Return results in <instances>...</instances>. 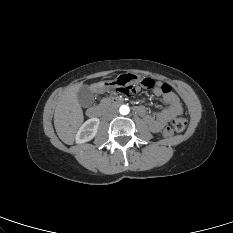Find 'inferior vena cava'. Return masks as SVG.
I'll use <instances>...</instances> for the list:
<instances>
[{
  "instance_id": "1",
  "label": "inferior vena cava",
  "mask_w": 233,
  "mask_h": 233,
  "mask_svg": "<svg viewBox=\"0 0 233 233\" xmlns=\"http://www.w3.org/2000/svg\"><path fill=\"white\" fill-rule=\"evenodd\" d=\"M117 114V110L114 108H109L104 112L105 119H111Z\"/></svg>"
}]
</instances>
